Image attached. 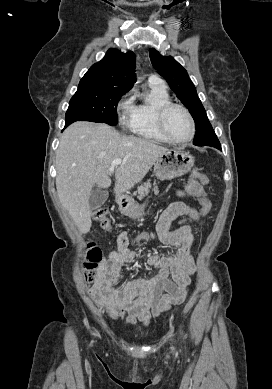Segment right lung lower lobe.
<instances>
[{
  "instance_id": "obj_1",
  "label": "right lung lower lobe",
  "mask_w": 272,
  "mask_h": 389,
  "mask_svg": "<svg viewBox=\"0 0 272 389\" xmlns=\"http://www.w3.org/2000/svg\"><path fill=\"white\" fill-rule=\"evenodd\" d=\"M71 123H73L72 121H67V122H65V127H64V129L68 126V125H70Z\"/></svg>"
}]
</instances>
